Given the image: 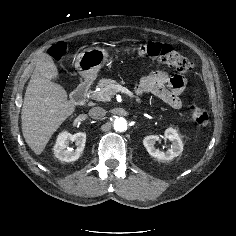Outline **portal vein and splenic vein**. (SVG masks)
<instances>
[{
    "label": "portal vein and splenic vein",
    "mask_w": 236,
    "mask_h": 236,
    "mask_svg": "<svg viewBox=\"0 0 236 236\" xmlns=\"http://www.w3.org/2000/svg\"><path fill=\"white\" fill-rule=\"evenodd\" d=\"M112 89H114L116 92H121V93H124V94H127L129 96H133V93L127 89L126 87L122 86V85H114L112 86ZM107 100H110V97H106Z\"/></svg>",
    "instance_id": "obj_1"
}]
</instances>
